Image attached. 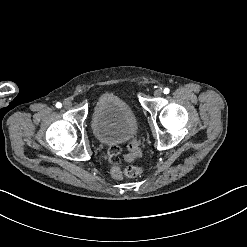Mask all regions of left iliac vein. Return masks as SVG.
I'll use <instances>...</instances> for the list:
<instances>
[{"label": "left iliac vein", "instance_id": "left-iliac-vein-1", "mask_svg": "<svg viewBox=\"0 0 247 247\" xmlns=\"http://www.w3.org/2000/svg\"><path fill=\"white\" fill-rule=\"evenodd\" d=\"M154 96H155V97H161V96H162V90H161V89H157V90L154 92Z\"/></svg>", "mask_w": 247, "mask_h": 247}]
</instances>
